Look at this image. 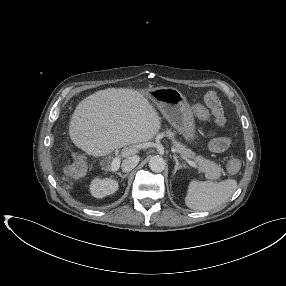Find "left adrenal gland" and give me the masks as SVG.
Returning <instances> with one entry per match:
<instances>
[{
  "instance_id": "1",
  "label": "left adrenal gland",
  "mask_w": 286,
  "mask_h": 286,
  "mask_svg": "<svg viewBox=\"0 0 286 286\" xmlns=\"http://www.w3.org/2000/svg\"><path fill=\"white\" fill-rule=\"evenodd\" d=\"M173 158H174L175 163H176L175 168H174V174H175L177 172V170L181 169L182 167H185V165H181L179 163L176 155H174Z\"/></svg>"
}]
</instances>
